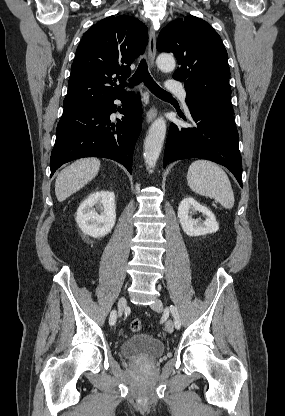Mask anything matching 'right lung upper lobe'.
Masks as SVG:
<instances>
[{
  "label": "right lung upper lobe",
  "mask_w": 285,
  "mask_h": 416,
  "mask_svg": "<svg viewBox=\"0 0 285 416\" xmlns=\"http://www.w3.org/2000/svg\"><path fill=\"white\" fill-rule=\"evenodd\" d=\"M147 42V27L131 16H110L93 25L77 47L63 105L94 106L125 93L130 65Z\"/></svg>",
  "instance_id": "obj_1"
}]
</instances>
